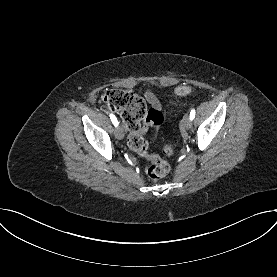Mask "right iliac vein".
<instances>
[{
  "instance_id": "right-iliac-vein-1",
  "label": "right iliac vein",
  "mask_w": 277,
  "mask_h": 277,
  "mask_svg": "<svg viewBox=\"0 0 277 277\" xmlns=\"http://www.w3.org/2000/svg\"><path fill=\"white\" fill-rule=\"evenodd\" d=\"M115 136L118 139H123L124 138V130H123L121 125L116 127V129H115Z\"/></svg>"
}]
</instances>
